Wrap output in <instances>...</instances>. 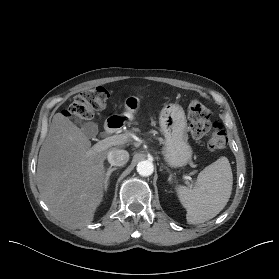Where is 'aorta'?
Instances as JSON below:
<instances>
[{"mask_svg": "<svg viewBox=\"0 0 279 279\" xmlns=\"http://www.w3.org/2000/svg\"><path fill=\"white\" fill-rule=\"evenodd\" d=\"M154 171V166L153 163L145 160V161H141L137 164V172L141 175V176H150Z\"/></svg>", "mask_w": 279, "mask_h": 279, "instance_id": "1", "label": "aorta"}]
</instances>
